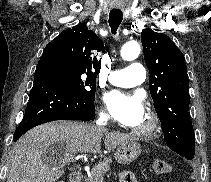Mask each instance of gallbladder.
Segmentation results:
<instances>
[{"label": "gallbladder", "instance_id": "1", "mask_svg": "<svg viewBox=\"0 0 211 182\" xmlns=\"http://www.w3.org/2000/svg\"><path fill=\"white\" fill-rule=\"evenodd\" d=\"M57 146H58V144H55V145L49 147V148L47 149V151L44 153L43 158H44L45 160L51 159V156H52L53 154L56 153V147H57Z\"/></svg>", "mask_w": 211, "mask_h": 182}]
</instances>
